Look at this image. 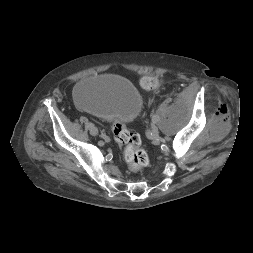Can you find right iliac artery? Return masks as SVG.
I'll return each instance as SVG.
<instances>
[{
	"label": "right iliac artery",
	"instance_id": "right-iliac-artery-1",
	"mask_svg": "<svg viewBox=\"0 0 253 253\" xmlns=\"http://www.w3.org/2000/svg\"><path fill=\"white\" fill-rule=\"evenodd\" d=\"M87 126L90 129L92 126H94L91 122H87Z\"/></svg>",
	"mask_w": 253,
	"mask_h": 253
}]
</instances>
